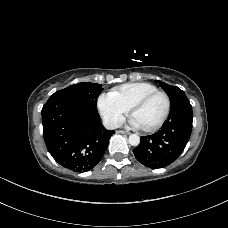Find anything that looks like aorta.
Returning <instances> with one entry per match:
<instances>
[{
    "mask_svg": "<svg viewBox=\"0 0 228 228\" xmlns=\"http://www.w3.org/2000/svg\"><path fill=\"white\" fill-rule=\"evenodd\" d=\"M128 142L132 146H138L140 143V137L137 134H131L129 136Z\"/></svg>",
    "mask_w": 228,
    "mask_h": 228,
    "instance_id": "762f6f07",
    "label": "aorta"
}]
</instances>
